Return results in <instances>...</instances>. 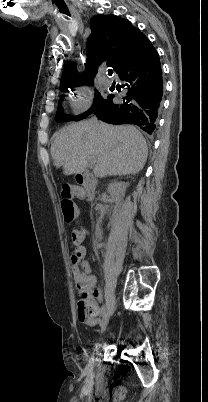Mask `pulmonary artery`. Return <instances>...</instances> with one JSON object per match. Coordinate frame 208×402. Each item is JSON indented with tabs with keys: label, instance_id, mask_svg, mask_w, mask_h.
I'll use <instances>...</instances> for the list:
<instances>
[{
	"label": "pulmonary artery",
	"instance_id": "pulmonary-artery-1",
	"mask_svg": "<svg viewBox=\"0 0 208 402\" xmlns=\"http://www.w3.org/2000/svg\"><path fill=\"white\" fill-rule=\"evenodd\" d=\"M99 73H100L101 75H104V74L106 73V70H105L104 68H101V69L99 70Z\"/></svg>",
	"mask_w": 208,
	"mask_h": 402
}]
</instances>
